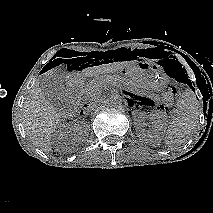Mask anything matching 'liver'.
<instances>
[{
    "label": "liver",
    "instance_id": "1",
    "mask_svg": "<svg viewBox=\"0 0 213 213\" xmlns=\"http://www.w3.org/2000/svg\"><path fill=\"white\" fill-rule=\"evenodd\" d=\"M135 64L134 62H117L85 68L81 72L83 78H98L101 75L113 73L123 69L125 66ZM56 69L47 71L44 75L55 76ZM97 87L102 86V82L98 81ZM23 126L27 136L36 147L45 153L52 151L51 139L62 116L67 117L66 113L58 112L50 102L45 98L40 88L39 82L30 89L29 94L23 104Z\"/></svg>",
    "mask_w": 213,
    "mask_h": 213
}]
</instances>
